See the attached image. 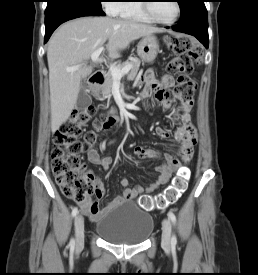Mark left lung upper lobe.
Segmentation results:
<instances>
[{"instance_id": "5c2ea615", "label": "left lung upper lobe", "mask_w": 258, "mask_h": 275, "mask_svg": "<svg viewBox=\"0 0 258 275\" xmlns=\"http://www.w3.org/2000/svg\"><path fill=\"white\" fill-rule=\"evenodd\" d=\"M190 0H178L179 6L181 8V11L185 9V7L188 5Z\"/></svg>"}]
</instances>
